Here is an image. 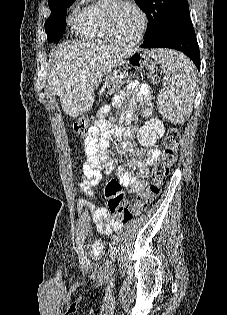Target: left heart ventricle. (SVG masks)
<instances>
[{"label":"left heart ventricle","mask_w":227,"mask_h":315,"mask_svg":"<svg viewBox=\"0 0 227 315\" xmlns=\"http://www.w3.org/2000/svg\"><path fill=\"white\" fill-rule=\"evenodd\" d=\"M141 17L129 5H120L114 15V29L118 39L129 42L135 39L141 28Z\"/></svg>","instance_id":"obj_1"}]
</instances>
